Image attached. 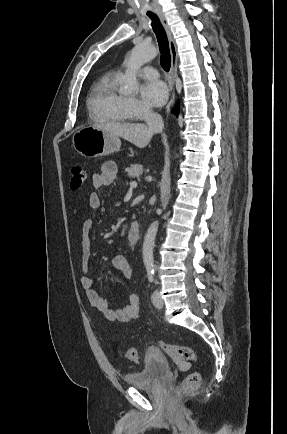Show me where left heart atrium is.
Instances as JSON below:
<instances>
[{
  "instance_id": "39dd6f15",
  "label": "left heart atrium",
  "mask_w": 287,
  "mask_h": 434,
  "mask_svg": "<svg viewBox=\"0 0 287 434\" xmlns=\"http://www.w3.org/2000/svg\"><path fill=\"white\" fill-rule=\"evenodd\" d=\"M142 98L152 106H162L168 98V89L161 81L145 83L141 86Z\"/></svg>"
}]
</instances>
